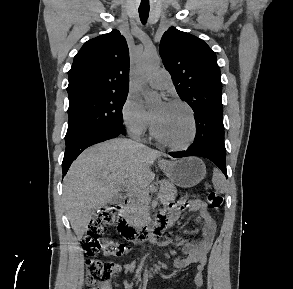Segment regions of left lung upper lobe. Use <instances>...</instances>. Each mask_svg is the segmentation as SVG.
I'll use <instances>...</instances> for the list:
<instances>
[{
	"label": "left lung upper lobe",
	"instance_id": "left-lung-upper-lobe-1",
	"mask_svg": "<svg viewBox=\"0 0 293 289\" xmlns=\"http://www.w3.org/2000/svg\"><path fill=\"white\" fill-rule=\"evenodd\" d=\"M159 52L178 95L190 105L195 116H223L222 83L215 52L200 38L175 27L163 34Z\"/></svg>",
	"mask_w": 293,
	"mask_h": 289
}]
</instances>
